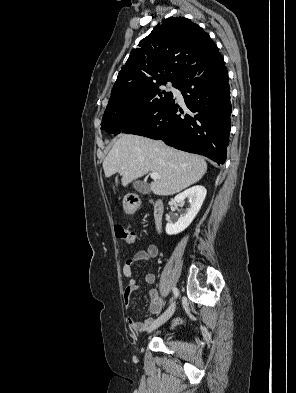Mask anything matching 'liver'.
Listing matches in <instances>:
<instances>
[{
    "label": "liver",
    "mask_w": 296,
    "mask_h": 393,
    "mask_svg": "<svg viewBox=\"0 0 296 393\" xmlns=\"http://www.w3.org/2000/svg\"><path fill=\"white\" fill-rule=\"evenodd\" d=\"M106 177L122 176L125 186L149 172L161 177L150 184L155 195L168 196L198 182L207 171L206 161L197 155L179 151L162 141L122 134L103 161Z\"/></svg>",
    "instance_id": "liver-1"
}]
</instances>
